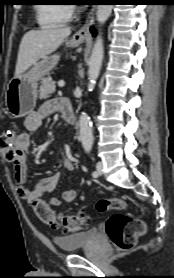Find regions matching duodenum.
<instances>
[{"instance_id": "1", "label": "duodenum", "mask_w": 174, "mask_h": 278, "mask_svg": "<svg viewBox=\"0 0 174 278\" xmlns=\"http://www.w3.org/2000/svg\"><path fill=\"white\" fill-rule=\"evenodd\" d=\"M58 109L61 118L68 124L74 125L76 122L72 105L68 99H61L58 102Z\"/></svg>"}]
</instances>
